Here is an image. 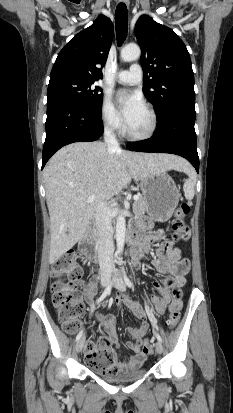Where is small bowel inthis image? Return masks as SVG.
Listing matches in <instances>:
<instances>
[{"mask_svg":"<svg viewBox=\"0 0 233 413\" xmlns=\"http://www.w3.org/2000/svg\"><path fill=\"white\" fill-rule=\"evenodd\" d=\"M142 229H149L151 223L148 220H142L139 224ZM159 242V245L155 251L156 259L154 260V266L159 273L167 275L164 280V286L158 282H154L153 286L157 291V295L152 297V302L155 306V310L158 314H164L170 304V308L177 304L179 308L182 306L181 301V288L185 283V275L189 271V261L187 259H181V250L179 248L172 247L171 243L164 239L163 232H149L144 237V243L139 247L140 258L151 251L150 242ZM96 293V283L90 282L84 289V296L91 309H94V297ZM118 306H125L132 314L141 322L140 327L127 329L128 334L135 339V341H128L125 343V347L133 352V355L123 362H117L119 371H125L131 368H137L143 364L146 359L147 353L143 350L142 338L145 336L148 330V322L146 311L143 306L126 296L118 295L116 298ZM97 319L104 327L106 335L99 339L97 345L89 344L87 348L86 358L88 355L96 357L98 349L110 348L115 345L117 349H120L118 343V335L116 329V320L112 315H106L99 313Z\"/></svg>","mask_w":233,"mask_h":413,"instance_id":"1","label":"small bowel"}]
</instances>
